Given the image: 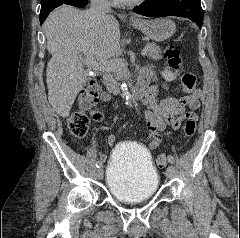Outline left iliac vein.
<instances>
[{
	"mask_svg": "<svg viewBox=\"0 0 240 238\" xmlns=\"http://www.w3.org/2000/svg\"><path fill=\"white\" fill-rule=\"evenodd\" d=\"M174 175V167L172 165L168 166L167 170H166V176L168 178H172Z\"/></svg>",
	"mask_w": 240,
	"mask_h": 238,
	"instance_id": "left-iliac-vein-1",
	"label": "left iliac vein"
}]
</instances>
